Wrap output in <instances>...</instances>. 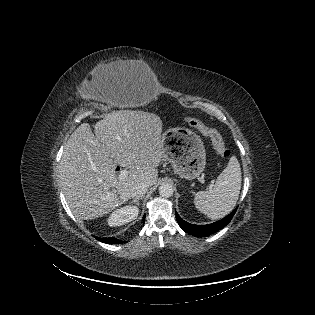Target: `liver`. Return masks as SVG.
<instances>
[{
    "label": "liver",
    "instance_id": "1",
    "mask_svg": "<svg viewBox=\"0 0 315 315\" xmlns=\"http://www.w3.org/2000/svg\"><path fill=\"white\" fill-rule=\"evenodd\" d=\"M134 61L120 64L134 69ZM162 120L154 113L119 110L94 125L82 123L70 135L60 161L63 194L76 218L104 216L128 201L134 186L154 185L164 157ZM128 169L120 179L116 166Z\"/></svg>",
    "mask_w": 315,
    "mask_h": 315
}]
</instances>
